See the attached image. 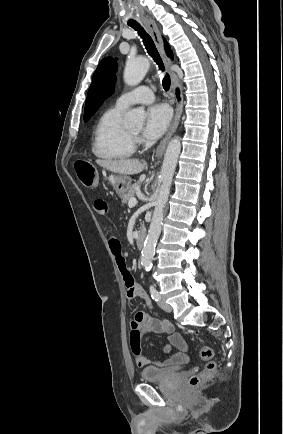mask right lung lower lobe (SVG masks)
<instances>
[{
  "label": "right lung lower lobe",
  "instance_id": "1",
  "mask_svg": "<svg viewBox=\"0 0 283 434\" xmlns=\"http://www.w3.org/2000/svg\"><path fill=\"white\" fill-rule=\"evenodd\" d=\"M176 94H177V97L179 98V90H177Z\"/></svg>",
  "mask_w": 283,
  "mask_h": 434
}]
</instances>
